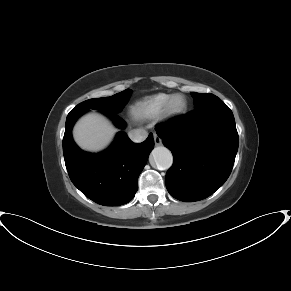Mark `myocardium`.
<instances>
[{
	"instance_id": "f54148a6",
	"label": "myocardium",
	"mask_w": 291,
	"mask_h": 291,
	"mask_svg": "<svg viewBox=\"0 0 291 291\" xmlns=\"http://www.w3.org/2000/svg\"><path fill=\"white\" fill-rule=\"evenodd\" d=\"M186 110V99L182 95H174L165 103L163 117L168 120L177 119L182 116Z\"/></svg>"
}]
</instances>
